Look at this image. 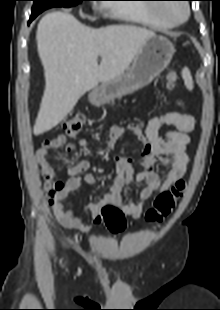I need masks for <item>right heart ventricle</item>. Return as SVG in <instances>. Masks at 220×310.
Masks as SVG:
<instances>
[{
    "instance_id": "obj_1",
    "label": "right heart ventricle",
    "mask_w": 220,
    "mask_h": 310,
    "mask_svg": "<svg viewBox=\"0 0 220 310\" xmlns=\"http://www.w3.org/2000/svg\"><path fill=\"white\" fill-rule=\"evenodd\" d=\"M116 17L154 29H167L171 24L159 19L154 14V8L147 5L123 6L115 5L111 10Z\"/></svg>"
}]
</instances>
